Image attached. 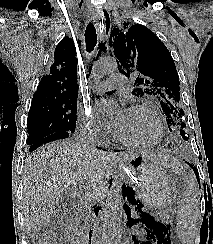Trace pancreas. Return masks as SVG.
I'll use <instances>...</instances> for the list:
<instances>
[{
	"mask_svg": "<svg viewBox=\"0 0 213 244\" xmlns=\"http://www.w3.org/2000/svg\"><path fill=\"white\" fill-rule=\"evenodd\" d=\"M86 231H87V227L84 226V227L81 228V233H82L83 235H84V233H86Z\"/></svg>",
	"mask_w": 213,
	"mask_h": 244,
	"instance_id": "obj_1",
	"label": "pancreas"
}]
</instances>
